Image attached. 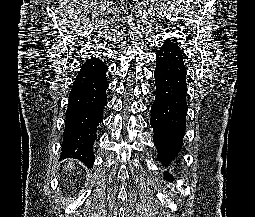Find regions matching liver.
Listing matches in <instances>:
<instances>
[{
    "label": "liver",
    "instance_id": "1",
    "mask_svg": "<svg viewBox=\"0 0 255 217\" xmlns=\"http://www.w3.org/2000/svg\"><path fill=\"white\" fill-rule=\"evenodd\" d=\"M69 167H71V168H73L74 167V162L71 160H68V164H67V168H66V170H68V168Z\"/></svg>",
    "mask_w": 255,
    "mask_h": 217
}]
</instances>
